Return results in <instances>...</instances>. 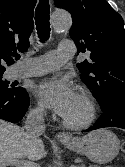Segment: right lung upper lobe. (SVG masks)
<instances>
[{"label":"right lung upper lobe","instance_id":"1","mask_svg":"<svg viewBox=\"0 0 125 167\" xmlns=\"http://www.w3.org/2000/svg\"><path fill=\"white\" fill-rule=\"evenodd\" d=\"M36 0H0V72L14 62L17 50H27L33 30Z\"/></svg>","mask_w":125,"mask_h":167}]
</instances>
